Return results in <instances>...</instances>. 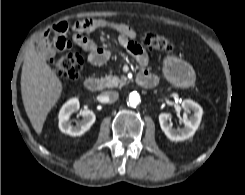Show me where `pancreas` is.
<instances>
[{"mask_svg":"<svg viewBox=\"0 0 245 195\" xmlns=\"http://www.w3.org/2000/svg\"><path fill=\"white\" fill-rule=\"evenodd\" d=\"M102 80L107 88L122 87L126 84V78L113 75L105 76Z\"/></svg>","mask_w":245,"mask_h":195,"instance_id":"1","label":"pancreas"}]
</instances>
